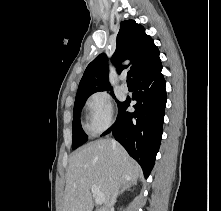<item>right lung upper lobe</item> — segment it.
<instances>
[{"instance_id":"obj_1","label":"right lung upper lobe","mask_w":221,"mask_h":211,"mask_svg":"<svg viewBox=\"0 0 221 211\" xmlns=\"http://www.w3.org/2000/svg\"><path fill=\"white\" fill-rule=\"evenodd\" d=\"M111 60L119 73L126 67L121 63L129 60L133 79L161 63L159 50L152 38L145 33L144 27L134 20L121 22L117 35V47ZM110 89L107 56L102 53L87 66L79 83L76 98Z\"/></svg>"}]
</instances>
